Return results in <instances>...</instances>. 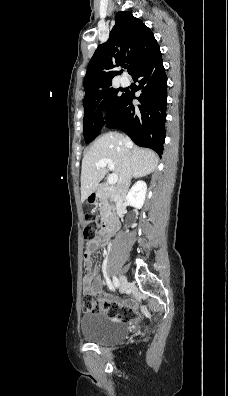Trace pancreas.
Instances as JSON below:
<instances>
[{"mask_svg": "<svg viewBox=\"0 0 228 396\" xmlns=\"http://www.w3.org/2000/svg\"><path fill=\"white\" fill-rule=\"evenodd\" d=\"M99 200L101 202L100 215L101 219H105L111 212L112 194L105 188L99 190Z\"/></svg>", "mask_w": 228, "mask_h": 396, "instance_id": "1", "label": "pancreas"}]
</instances>
